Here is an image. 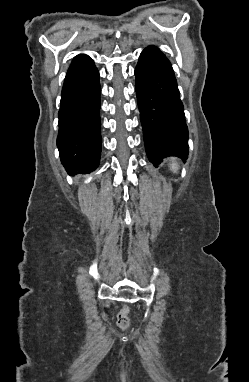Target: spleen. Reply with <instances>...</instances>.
Returning a JSON list of instances; mask_svg holds the SVG:
<instances>
[{
  "label": "spleen",
  "mask_w": 249,
  "mask_h": 382,
  "mask_svg": "<svg viewBox=\"0 0 249 382\" xmlns=\"http://www.w3.org/2000/svg\"><path fill=\"white\" fill-rule=\"evenodd\" d=\"M170 170L173 171L174 173H177L179 169L178 162L176 161V158H170Z\"/></svg>",
  "instance_id": "1"
}]
</instances>
